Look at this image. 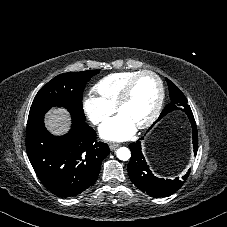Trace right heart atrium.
<instances>
[{
	"mask_svg": "<svg viewBox=\"0 0 227 227\" xmlns=\"http://www.w3.org/2000/svg\"><path fill=\"white\" fill-rule=\"evenodd\" d=\"M83 111L93 124L98 125L113 113L114 107L98 96L89 94L83 99Z\"/></svg>",
	"mask_w": 227,
	"mask_h": 227,
	"instance_id": "obj_1",
	"label": "right heart atrium"
}]
</instances>
